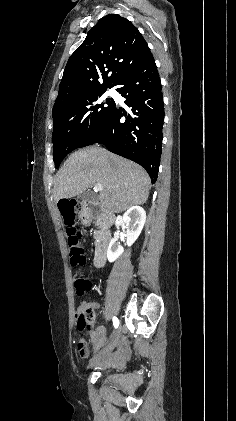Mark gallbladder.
<instances>
[{"label":"gallbladder","mask_w":236,"mask_h":421,"mask_svg":"<svg viewBox=\"0 0 236 421\" xmlns=\"http://www.w3.org/2000/svg\"><path fill=\"white\" fill-rule=\"evenodd\" d=\"M78 198H81V200H86V198H88L87 192H80V194H78Z\"/></svg>","instance_id":"obj_1"}]
</instances>
